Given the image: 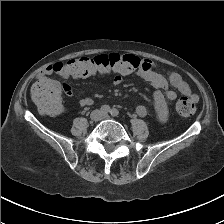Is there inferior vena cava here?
Listing matches in <instances>:
<instances>
[{"instance_id":"inferior-vena-cava-1","label":"inferior vena cava","mask_w":224,"mask_h":224,"mask_svg":"<svg viewBox=\"0 0 224 224\" xmlns=\"http://www.w3.org/2000/svg\"><path fill=\"white\" fill-rule=\"evenodd\" d=\"M104 117H105V115H104V114H101V115L98 117V120L103 119Z\"/></svg>"}]
</instances>
